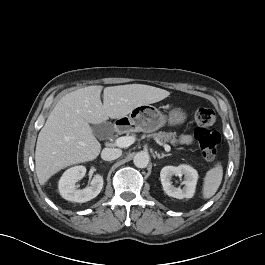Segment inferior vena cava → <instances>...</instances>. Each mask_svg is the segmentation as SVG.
Here are the masks:
<instances>
[{
	"label": "inferior vena cava",
	"mask_w": 265,
	"mask_h": 265,
	"mask_svg": "<svg viewBox=\"0 0 265 265\" xmlns=\"http://www.w3.org/2000/svg\"><path fill=\"white\" fill-rule=\"evenodd\" d=\"M122 151L116 148H104L101 153V158L105 161H112L119 158Z\"/></svg>",
	"instance_id": "inferior-vena-cava-1"
}]
</instances>
